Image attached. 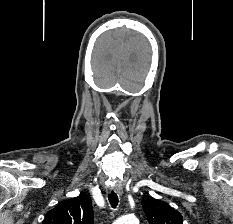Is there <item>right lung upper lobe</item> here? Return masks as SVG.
I'll use <instances>...</instances> for the list:
<instances>
[{
	"instance_id": "right-lung-upper-lobe-1",
	"label": "right lung upper lobe",
	"mask_w": 233,
	"mask_h": 224,
	"mask_svg": "<svg viewBox=\"0 0 233 224\" xmlns=\"http://www.w3.org/2000/svg\"><path fill=\"white\" fill-rule=\"evenodd\" d=\"M42 224H93V208L89 195L79 196L60 202L48 211Z\"/></svg>"
}]
</instances>
